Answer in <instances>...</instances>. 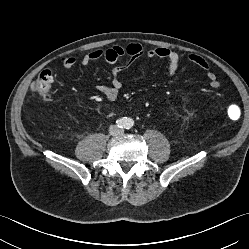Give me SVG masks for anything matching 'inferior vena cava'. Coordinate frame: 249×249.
<instances>
[{
  "label": "inferior vena cava",
  "mask_w": 249,
  "mask_h": 249,
  "mask_svg": "<svg viewBox=\"0 0 249 249\" xmlns=\"http://www.w3.org/2000/svg\"><path fill=\"white\" fill-rule=\"evenodd\" d=\"M109 131L111 135H118L121 132V130L116 125H111Z\"/></svg>",
  "instance_id": "1"
}]
</instances>
